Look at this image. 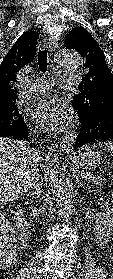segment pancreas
Here are the masks:
<instances>
[{
    "label": "pancreas",
    "mask_w": 113,
    "mask_h": 279,
    "mask_svg": "<svg viewBox=\"0 0 113 279\" xmlns=\"http://www.w3.org/2000/svg\"><path fill=\"white\" fill-rule=\"evenodd\" d=\"M81 176L86 181H89L92 184H95V185H100L101 184V180H102L101 176L93 175V174H90V173H82Z\"/></svg>",
    "instance_id": "1"
}]
</instances>
